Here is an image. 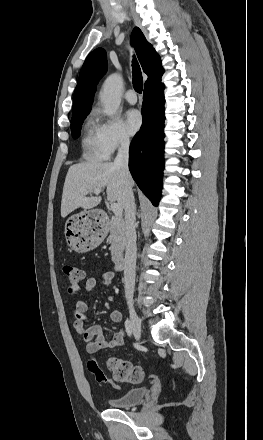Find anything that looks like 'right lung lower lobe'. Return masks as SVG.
<instances>
[{
    "mask_svg": "<svg viewBox=\"0 0 263 440\" xmlns=\"http://www.w3.org/2000/svg\"><path fill=\"white\" fill-rule=\"evenodd\" d=\"M164 84L161 78L145 85L143 123L129 150V170L139 188L158 205L164 168Z\"/></svg>",
    "mask_w": 263,
    "mask_h": 440,
    "instance_id": "obj_1",
    "label": "right lung lower lobe"
}]
</instances>
